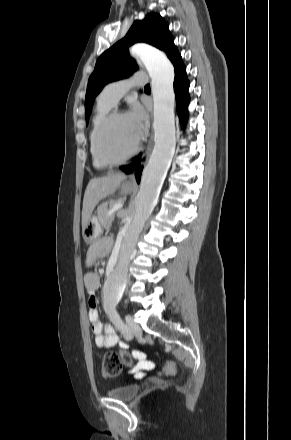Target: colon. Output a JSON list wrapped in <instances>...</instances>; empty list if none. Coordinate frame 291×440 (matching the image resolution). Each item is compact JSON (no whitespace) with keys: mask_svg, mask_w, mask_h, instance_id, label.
Returning <instances> with one entry per match:
<instances>
[{"mask_svg":"<svg viewBox=\"0 0 291 440\" xmlns=\"http://www.w3.org/2000/svg\"><path fill=\"white\" fill-rule=\"evenodd\" d=\"M123 364L129 366L132 365V359L127 352L123 351L120 353H107L104 356V360L102 363V375L106 378L117 377L121 372ZM174 370V362L171 360L167 361L163 368V373L172 374Z\"/></svg>","mask_w":291,"mask_h":440,"instance_id":"5ec220e1","label":"colon"}]
</instances>
